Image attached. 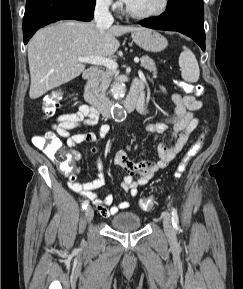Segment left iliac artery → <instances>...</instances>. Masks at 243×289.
Masks as SVG:
<instances>
[{
  "instance_id": "left-iliac-artery-1",
  "label": "left iliac artery",
  "mask_w": 243,
  "mask_h": 289,
  "mask_svg": "<svg viewBox=\"0 0 243 289\" xmlns=\"http://www.w3.org/2000/svg\"><path fill=\"white\" fill-rule=\"evenodd\" d=\"M171 216L173 227L177 229L179 225V220H178V213L175 208H172Z\"/></svg>"
}]
</instances>
